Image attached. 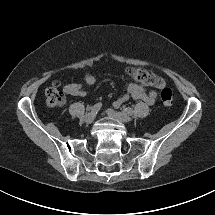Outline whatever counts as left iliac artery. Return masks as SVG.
Segmentation results:
<instances>
[{"instance_id": "44dca946", "label": "left iliac artery", "mask_w": 215, "mask_h": 215, "mask_svg": "<svg viewBox=\"0 0 215 215\" xmlns=\"http://www.w3.org/2000/svg\"><path fill=\"white\" fill-rule=\"evenodd\" d=\"M123 112L128 114V115H132L134 110L131 107H126V108H123Z\"/></svg>"}]
</instances>
